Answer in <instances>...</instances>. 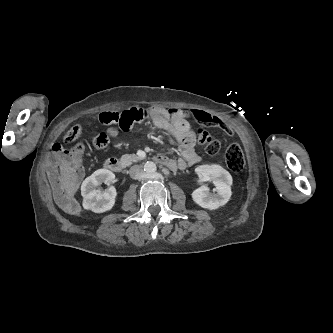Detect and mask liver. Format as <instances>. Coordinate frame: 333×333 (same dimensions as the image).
I'll return each instance as SVG.
<instances>
[{"mask_svg":"<svg viewBox=\"0 0 333 333\" xmlns=\"http://www.w3.org/2000/svg\"><path fill=\"white\" fill-rule=\"evenodd\" d=\"M61 186L65 190L66 199L71 200L78 189V175L76 170L65 160L60 165Z\"/></svg>","mask_w":333,"mask_h":333,"instance_id":"obj_1","label":"liver"}]
</instances>
